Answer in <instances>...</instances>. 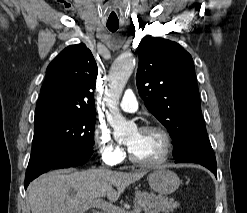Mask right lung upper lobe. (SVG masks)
<instances>
[{
    "instance_id": "right-lung-upper-lobe-1",
    "label": "right lung upper lobe",
    "mask_w": 247,
    "mask_h": 213,
    "mask_svg": "<svg viewBox=\"0 0 247 213\" xmlns=\"http://www.w3.org/2000/svg\"><path fill=\"white\" fill-rule=\"evenodd\" d=\"M98 74L84 44L65 48L47 67L35 115L49 111L96 112L94 88Z\"/></svg>"
}]
</instances>
